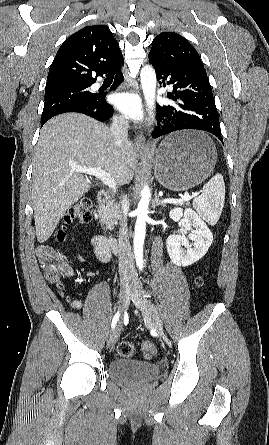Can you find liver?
Returning a JSON list of instances; mask_svg holds the SVG:
<instances>
[{
    "label": "liver",
    "mask_w": 269,
    "mask_h": 445,
    "mask_svg": "<svg viewBox=\"0 0 269 445\" xmlns=\"http://www.w3.org/2000/svg\"><path fill=\"white\" fill-rule=\"evenodd\" d=\"M136 153L131 142L117 146L110 129L78 113L50 119L36 147L32 199L37 240L47 241L60 219L90 188L74 167L105 170L119 184L134 177Z\"/></svg>",
    "instance_id": "liver-1"
}]
</instances>
